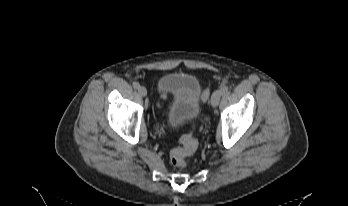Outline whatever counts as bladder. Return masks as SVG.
<instances>
[{"label":"bladder","mask_w":348,"mask_h":206,"mask_svg":"<svg viewBox=\"0 0 348 206\" xmlns=\"http://www.w3.org/2000/svg\"><path fill=\"white\" fill-rule=\"evenodd\" d=\"M157 88L164 97L166 120L172 126L198 119L201 114V83L197 77L171 72L158 79Z\"/></svg>","instance_id":"31cf9c89"}]
</instances>
